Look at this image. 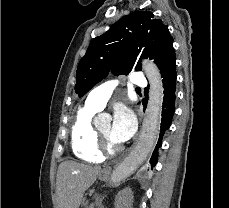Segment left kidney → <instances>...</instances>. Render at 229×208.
I'll list each match as a JSON object with an SVG mask.
<instances>
[{
  "label": "left kidney",
  "instance_id": "left-kidney-1",
  "mask_svg": "<svg viewBox=\"0 0 229 208\" xmlns=\"http://www.w3.org/2000/svg\"><path fill=\"white\" fill-rule=\"evenodd\" d=\"M131 200H133L131 188H125L117 194L115 198V208H130Z\"/></svg>",
  "mask_w": 229,
  "mask_h": 208
}]
</instances>
